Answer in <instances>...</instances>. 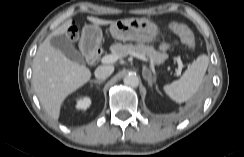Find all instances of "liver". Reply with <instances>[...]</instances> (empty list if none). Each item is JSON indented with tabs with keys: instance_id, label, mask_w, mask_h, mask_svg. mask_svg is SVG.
I'll return each mask as SVG.
<instances>
[{
	"instance_id": "liver-1",
	"label": "liver",
	"mask_w": 244,
	"mask_h": 157,
	"mask_svg": "<svg viewBox=\"0 0 244 157\" xmlns=\"http://www.w3.org/2000/svg\"><path fill=\"white\" fill-rule=\"evenodd\" d=\"M93 25H108L115 21L88 16ZM71 26L68 21L53 31L39 45L32 64V84L45 112L55 121L59 119L61 106L68 95L86 84L91 71L84 65L70 60L51 45V38L64 34Z\"/></svg>"
}]
</instances>
